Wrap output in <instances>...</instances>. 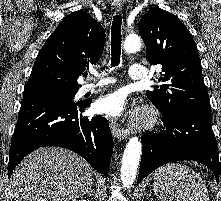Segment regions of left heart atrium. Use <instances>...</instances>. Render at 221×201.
<instances>
[{"instance_id":"obj_1","label":"left heart atrium","mask_w":221,"mask_h":201,"mask_svg":"<svg viewBox=\"0 0 221 201\" xmlns=\"http://www.w3.org/2000/svg\"><path fill=\"white\" fill-rule=\"evenodd\" d=\"M97 109L111 117H119L128 110L127 95L122 90L114 91L100 98Z\"/></svg>"}]
</instances>
